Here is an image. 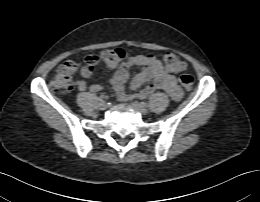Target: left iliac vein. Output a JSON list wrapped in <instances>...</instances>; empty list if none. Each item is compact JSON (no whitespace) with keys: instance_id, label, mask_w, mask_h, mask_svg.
<instances>
[{"instance_id":"left-iliac-vein-1","label":"left iliac vein","mask_w":260,"mask_h":202,"mask_svg":"<svg viewBox=\"0 0 260 202\" xmlns=\"http://www.w3.org/2000/svg\"><path fill=\"white\" fill-rule=\"evenodd\" d=\"M132 106L134 109H136L137 111H139L140 113L146 115L148 113V109L145 105L140 104L138 102H133Z\"/></svg>"}]
</instances>
